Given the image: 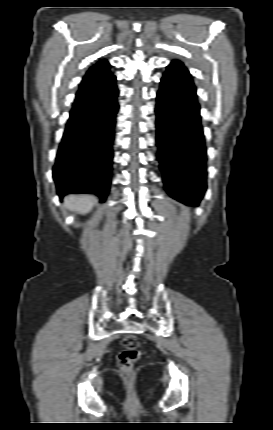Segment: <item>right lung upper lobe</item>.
Returning <instances> with one entry per match:
<instances>
[{
  "label": "right lung upper lobe",
  "instance_id": "obj_1",
  "mask_svg": "<svg viewBox=\"0 0 273 430\" xmlns=\"http://www.w3.org/2000/svg\"><path fill=\"white\" fill-rule=\"evenodd\" d=\"M110 67V64L106 60H100L94 66H92L87 71L86 75L82 80V83L80 85L81 87L76 94L75 101L80 100L86 96L90 85L111 76L112 74L110 73Z\"/></svg>",
  "mask_w": 273,
  "mask_h": 430
}]
</instances>
